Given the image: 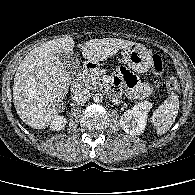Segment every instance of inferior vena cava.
<instances>
[{
  "mask_svg": "<svg viewBox=\"0 0 195 195\" xmlns=\"http://www.w3.org/2000/svg\"><path fill=\"white\" fill-rule=\"evenodd\" d=\"M91 97V93L88 89H78L75 91L73 100L78 104H84L86 103Z\"/></svg>",
  "mask_w": 195,
  "mask_h": 195,
  "instance_id": "inferior-vena-cava-1",
  "label": "inferior vena cava"
}]
</instances>
